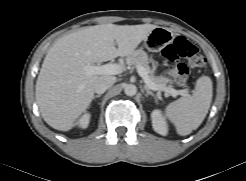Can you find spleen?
Masks as SVG:
<instances>
[{"mask_svg": "<svg viewBox=\"0 0 246 181\" xmlns=\"http://www.w3.org/2000/svg\"><path fill=\"white\" fill-rule=\"evenodd\" d=\"M212 95V80L203 75L198 78L192 95L181 97L166 106V117L174 124L179 135H188L200 126L210 108Z\"/></svg>", "mask_w": 246, "mask_h": 181, "instance_id": "obj_1", "label": "spleen"}]
</instances>
